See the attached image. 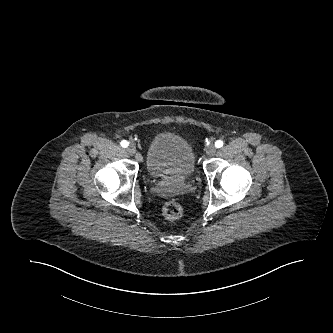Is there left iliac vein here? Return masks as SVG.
Masks as SVG:
<instances>
[{
    "label": "left iliac vein",
    "instance_id": "left-iliac-vein-1",
    "mask_svg": "<svg viewBox=\"0 0 333 333\" xmlns=\"http://www.w3.org/2000/svg\"><path fill=\"white\" fill-rule=\"evenodd\" d=\"M216 153V148L214 145H209L207 148H206V154L208 156H214Z\"/></svg>",
    "mask_w": 333,
    "mask_h": 333
}]
</instances>
